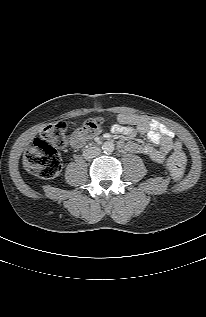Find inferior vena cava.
<instances>
[{
	"instance_id": "1",
	"label": "inferior vena cava",
	"mask_w": 206,
	"mask_h": 317,
	"mask_svg": "<svg viewBox=\"0 0 206 317\" xmlns=\"http://www.w3.org/2000/svg\"><path fill=\"white\" fill-rule=\"evenodd\" d=\"M101 149L99 147H88L83 151V157L85 159H92L98 155H100Z\"/></svg>"
}]
</instances>
